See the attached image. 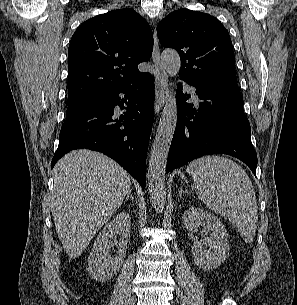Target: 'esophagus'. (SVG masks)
<instances>
[{"label": "esophagus", "mask_w": 297, "mask_h": 305, "mask_svg": "<svg viewBox=\"0 0 297 305\" xmlns=\"http://www.w3.org/2000/svg\"><path fill=\"white\" fill-rule=\"evenodd\" d=\"M153 62L155 66V114L158 116L169 93L168 75L164 69L156 30L153 33Z\"/></svg>", "instance_id": "1"}]
</instances>
